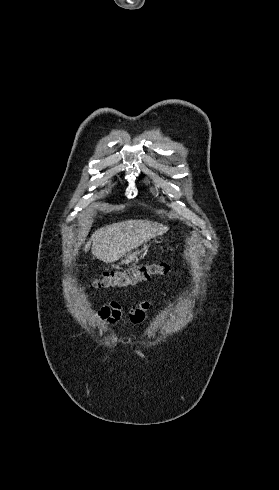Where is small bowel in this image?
<instances>
[{"instance_id": "obj_1", "label": "small bowel", "mask_w": 279, "mask_h": 490, "mask_svg": "<svg viewBox=\"0 0 279 490\" xmlns=\"http://www.w3.org/2000/svg\"><path fill=\"white\" fill-rule=\"evenodd\" d=\"M150 307L148 301H143L132 307L130 318L132 322L138 323L144 320L145 311ZM122 317V306L117 301H112L102 307L97 313V319L103 327L109 328L117 323Z\"/></svg>"}]
</instances>
